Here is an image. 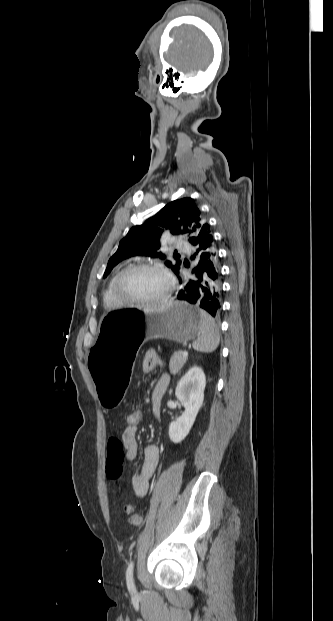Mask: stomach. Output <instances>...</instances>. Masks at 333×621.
Instances as JSON below:
<instances>
[{"mask_svg": "<svg viewBox=\"0 0 333 621\" xmlns=\"http://www.w3.org/2000/svg\"><path fill=\"white\" fill-rule=\"evenodd\" d=\"M99 330L89 347L91 379L102 409L112 413L129 387L139 346L156 338L189 342L200 332V313L179 301L163 310L110 311L102 316Z\"/></svg>", "mask_w": 333, "mask_h": 621, "instance_id": "stomach-1", "label": "stomach"}]
</instances>
